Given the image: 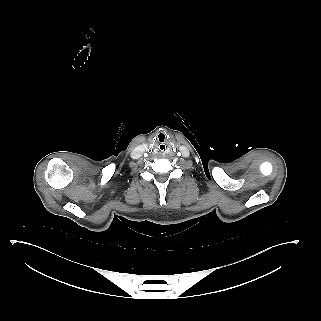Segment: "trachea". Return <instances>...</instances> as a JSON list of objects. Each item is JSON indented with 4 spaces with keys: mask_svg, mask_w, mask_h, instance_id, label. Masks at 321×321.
Returning <instances> with one entry per match:
<instances>
[{
    "mask_svg": "<svg viewBox=\"0 0 321 321\" xmlns=\"http://www.w3.org/2000/svg\"><path fill=\"white\" fill-rule=\"evenodd\" d=\"M156 148H157V151H158V152H161V153H162V152H165V151H166V148H167V147H166V144H165V143H162V142H161V143H158V144H157V147H156Z\"/></svg>",
    "mask_w": 321,
    "mask_h": 321,
    "instance_id": "obj_1",
    "label": "trachea"
}]
</instances>
